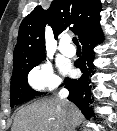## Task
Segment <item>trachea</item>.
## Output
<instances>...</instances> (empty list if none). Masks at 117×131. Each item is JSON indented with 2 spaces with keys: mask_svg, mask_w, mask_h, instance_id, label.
Here are the masks:
<instances>
[{
  "mask_svg": "<svg viewBox=\"0 0 117 131\" xmlns=\"http://www.w3.org/2000/svg\"><path fill=\"white\" fill-rule=\"evenodd\" d=\"M72 41H73V43H74L76 46H79V42H78L77 37H73Z\"/></svg>",
  "mask_w": 117,
  "mask_h": 131,
  "instance_id": "1",
  "label": "trachea"
}]
</instances>
